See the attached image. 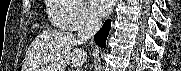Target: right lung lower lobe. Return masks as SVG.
Returning a JSON list of instances; mask_svg holds the SVG:
<instances>
[{
  "label": "right lung lower lobe",
  "instance_id": "98d812e1",
  "mask_svg": "<svg viewBox=\"0 0 181 71\" xmlns=\"http://www.w3.org/2000/svg\"><path fill=\"white\" fill-rule=\"evenodd\" d=\"M110 29H111V20L108 19L105 21L100 31L94 36L95 42L102 48L106 46L105 41L107 36L109 35Z\"/></svg>",
  "mask_w": 181,
  "mask_h": 71
}]
</instances>
